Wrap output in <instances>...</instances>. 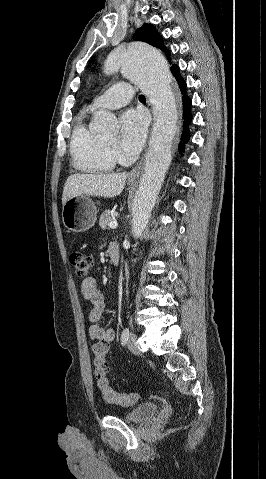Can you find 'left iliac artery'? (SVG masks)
<instances>
[{"label": "left iliac artery", "instance_id": "obj_1", "mask_svg": "<svg viewBox=\"0 0 266 479\" xmlns=\"http://www.w3.org/2000/svg\"><path fill=\"white\" fill-rule=\"evenodd\" d=\"M129 335H130V331H129V328H125L122 332V335H121V342H122V345H125L126 342L128 341L129 339Z\"/></svg>", "mask_w": 266, "mask_h": 479}]
</instances>
